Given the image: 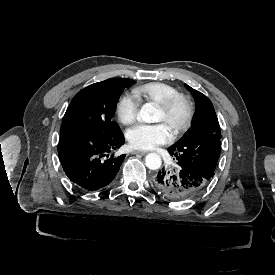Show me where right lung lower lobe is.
Segmentation results:
<instances>
[{
    "instance_id": "1",
    "label": "right lung lower lobe",
    "mask_w": 275,
    "mask_h": 275,
    "mask_svg": "<svg viewBox=\"0 0 275 275\" xmlns=\"http://www.w3.org/2000/svg\"><path fill=\"white\" fill-rule=\"evenodd\" d=\"M125 142L123 134L106 138L80 131L61 134L58 155L68 178L83 191H95L112 182L125 155L110 156Z\"/></svg>"
}]
</instances>
